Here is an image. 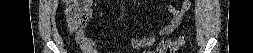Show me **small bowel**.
Returning <instances> with one entry per match:
<instances>
[{
  "mask_svg": "<svg viewBox=\"0 0 253 53\" xmlns=\"http://www.w3.org/2000/svg\"><path fill=\"white\" fill-rule=\"evenodd\" d=\"M190 0H185L180 8L170 7L171 19L167 25L160 30V35H168L172 33L178 25L181 23L184 15L189 11L191 7ZM76 41L80 44L83 51L86 53H96L95 42L86 34L85 28H79L75 31ZM154 42V37H147L145 39H133L132 45L135 49H138L144 45H150Z\"/></svg>",
  "mask_w": 253,
  "mask_h": 53,
  "instance_id": "c3829d8e",
  "label": "small bowel"
}]
</instances>
